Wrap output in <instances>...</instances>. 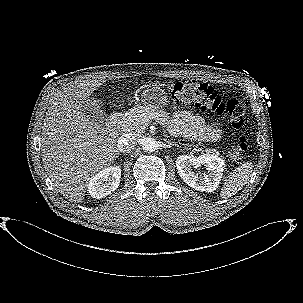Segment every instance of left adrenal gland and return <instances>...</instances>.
Returning <instances> with one entry per match:
<instances>
[{
    "instance_id": "1",
    "label": "left adrenal gland",
    "mask_w": 303,
    "mask_h": 303,
    "mask_svg": "<svg viewBox=\"0 0 303 303\" xmlns=\"http://www.w3.org/2000/svg\"><path fill=\"white\" fill-rule=\"evenodd\" d=\"M166 143L168 144V146L169 147H171V146H176V147H181V146H179L178 144H176L175 142H171V141H166Z\"/></svg>"
}]
</instances>
